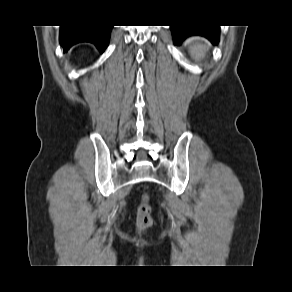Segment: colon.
<instances>
[{
	"label": "colon",
	"instance_id": "colon-1",
	"mask_svg": "<svg viewBox=\"0 0 292 292\" xmlns=\"http://www.w3.org/2000/svg\"><path fill=\"white\" fill-rule=\"evenodd\" d=\"M153 219L148 195L144 194L137 209L136 225L138 230L144 231L151 227Z\"/></svg>",
	"mask_w": 292,
	"mask_h": 292
}]
</instances>
